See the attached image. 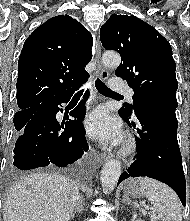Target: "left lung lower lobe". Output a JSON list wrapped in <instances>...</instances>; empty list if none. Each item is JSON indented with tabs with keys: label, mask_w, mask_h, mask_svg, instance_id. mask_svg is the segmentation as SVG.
Segmentation results:
<instances>
[{
	"label": "left lung lower lobe",
	"mask_w": 190,
	"mask_h": 221,
	"mask_svg": "<svg viewBox=\"0 0 190 221\" xmlns=\"http://www.w3.org/2000/svg\"><path fill=\"white\" fill-rule=\"evenodd\" d=\"M174 107L146 104L135 109L140 127L131 118L122 117L136 128L137 154L134 163L120 175L118 184L128 177L146 176L169 185L186 205V182L177 141Z\"/></svg>",
	"instance_id": "left-lung-lower-lobe-1"
}]
</instances>
